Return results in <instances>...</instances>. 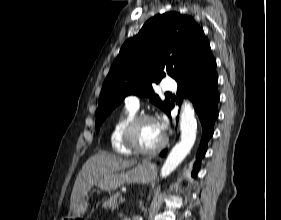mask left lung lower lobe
<instances>
[{"label":"left lung lower lobe","instance_id":"left-lung-lower-lobe-1","mask_svg":"<svg viewBox=\"0 0 281 220\" xmlns=\"http://www.w3.org/2000/svg\"><path fill=\"white\" fill-rule=\"evenodd\" d=\"M177 84L180 96L178 103L180 104L183 97H188L193 102L202 124L201 142L192 172L195 176L199 171L201 159L206 153L207 142L213 135L215 120L218 118L217 104L220 98L217 89L218 77L216 60L210 48L193 58L186 73L177 80ZM172 108L173 105L170 107L168 116ZM166 152L167 150H164L161 155L164 156Z\"/></svg>","mask_w":281,"mask_h":220}]
</instances>
